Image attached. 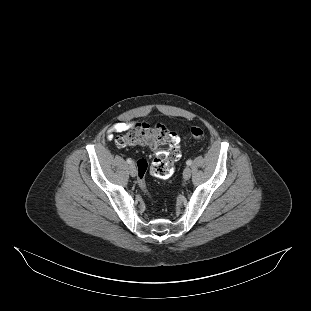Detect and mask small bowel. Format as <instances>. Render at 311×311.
I'll return each instance as SVG.
<instances>
[{
  "mask_svg": "<svg viewBox=\"0 0 311 311\" xmlns=\"http://www.w3.org/2000/svg\"><path fill=\"white\" fill-rule=\"evenodd\" d=\"M133 125V123H125V122H120V123H116L114 125H112L108 131V139L111 140L113 137V133L115 132H123L128 130L131 126ZM176 141L177 143L179 142V138L178 136H176Z\"/></svg>",
  "mask_w": 311,
  "mask_h": 311,
  "instance_id": "1",
  "label": "small bowel"
}]
</instances>
